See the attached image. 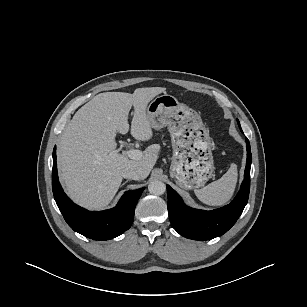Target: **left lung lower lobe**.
Masks as SVG:
<instances>
[{"instance_id": "obj_1", "label": "left lung lower lobe", "mask_w": 307, "mask_h": 307, "mask_svg": "<svg viewBox=\"0 0 307 307\" xmlns=\"http://www.w3.org/2000/svg\"><path fill=\"white\" fill-rule=\"evenodd\" d=\"M245 140L247 162L244 180L240 191L230 204L212 211L193 209L186 206L177 192L167 185L170 222L180 235L193 240H210L223 235L235 224L248 202L250 191L252 156L249 140Z\"/></svg>"}]
</instances>
